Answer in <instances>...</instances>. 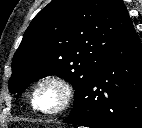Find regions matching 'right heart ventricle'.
Listing matches in <instances>:
<instances>
[{
	"label": "right heart ventricle",
	"mask_w": 142,
	"mask_h": 128,
	"mask_svg": "<svg viewBox=\"0 0 142 128\" xmlns=\"http://www.w3.org/2000/svg\"><path fill=\"white\" fill-rule=\"evenodd\" d=\"M34 93H35V89L31 92L30 97H29V102L30 105L34 108Z\"/></svg>",
	"instance_id": "right-heart-ventricle-1"
}]
</instances>
